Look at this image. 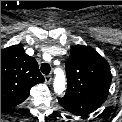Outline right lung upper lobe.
Listing matches in <instances>:
<instances>
[{
	"label": "right lung upper lobe",
	"mask_w": 122,
	"mask_h": 122,
	"mask_svg": "<svg viewBox=\"0 0 122 122\" xmlns=\"http://www.w3.org/2000/svg\"><path fill=\"white\" fill-rule=\"evenodd\" d=\"M43 81L38 63L22 46L1 50V109L21 104L29 96L30 89Z\"/></svg>",
	"instance_id": "1"
}]
</instances>
